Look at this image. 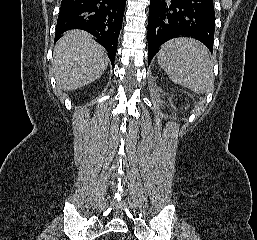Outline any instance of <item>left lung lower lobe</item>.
Wrapping results in <instances>:
<instances>
[{
  "label": "left lung lower lobe",
  "mask_w": 257,
  "mask_h": 240,
  "mask_svg": "<svg viewBox=\"0 0 257 240\" xmlns=\"http://www.w3.org/2000/svg\"><path fill=\"white\" fill-rule=\"evenodd\" d=\"M214 31L213 0H150L149 63L162 44L178 36L194 37L212 53Z\"/></svg>",
  "instance_id": "0a47b994"
}]
</instances>
